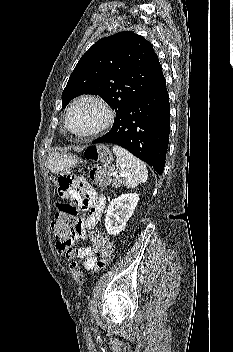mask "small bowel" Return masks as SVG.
Segmentation results:
<instances>
[{
	"label": "small bowel",
	"mask_w": 233,
	"mask_h": 352,
	"mask_svg": "<svg viewBox=\"0 0 233 352\" xmlns=\"http://www.w3.org/2000/svg\"><path fill=\"white\" fill-rule=\"evenodd\" d=\"M56 194L61 199H72L79 206L81 215L69 235L68 243H56L57 251L68 260L83 259L85 267L94 264L95 256L90 247L76 248L74 243L86 239V230L93 229L101 219L105 198L99 195L86 181L76 180L70 175L61 176L56 182ZM63 202H57L59 209Z\"/></svg>",
	"instance_id": "c3829d8e"
}]
</instances>
